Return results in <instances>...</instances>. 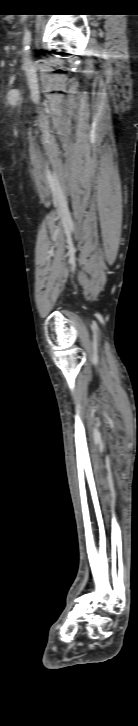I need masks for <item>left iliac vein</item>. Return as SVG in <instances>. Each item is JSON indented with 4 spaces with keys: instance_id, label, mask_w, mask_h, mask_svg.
<instances>
[{
    "instance_id": "1",
    "label": "left iliac vein",
    "mask_w": 138,
    "mask_h": 726,
    "mask_svg": "<svg viewBox=\"0 0 138 726\" xmlns=\"http://www.w3.org/2000/svg\"><path fill=\"white\" fill-rule=\"evenodd\" d=\"M25 60H27V61H28V60H30V55H29V53H27V54L25 55Z\"/></svg>"
}]
</instances>
